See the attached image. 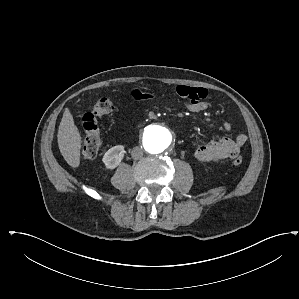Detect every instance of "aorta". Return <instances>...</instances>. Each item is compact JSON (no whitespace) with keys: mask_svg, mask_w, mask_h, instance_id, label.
I'll use <instances>...</instances> for the list:
<instances>
[{"mask_svg":"<svg viewBox=\"0 0 299 299\" xmlns=\"http://www.w3.org/2000/svg\"><path fill=\"white\" fill-rule=\"evenodd\" d=\"M172 143V134L164 126L150 125L142 136V145L145 152L156 156L164 153Z\"/></svg>","mask_w":299,"mask_h":299,"instance_id":"obj_1","label":"aorta"}]
</instances>
